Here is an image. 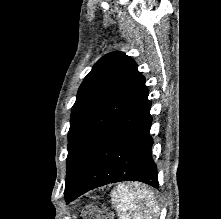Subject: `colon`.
<instances>
[{"mask_svg":"<svg viewBox=\"0 0 221 219\" xmlns=\"http://www.w3.org/2000/svg\"><path fill=\"white\" fill-rule=\"evenodd\" d=\"M79 219H116L111 213L100 210L95 206H86Z\"/></svg>","mask_w":221,"mask_h":219,"instance_id":"1","label":"colon"}]
</instances>
